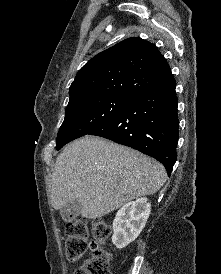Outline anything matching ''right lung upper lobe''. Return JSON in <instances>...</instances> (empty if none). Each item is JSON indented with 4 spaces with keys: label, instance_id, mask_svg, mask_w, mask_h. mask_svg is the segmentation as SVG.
<instances>
[{
    "label": "right lung upper lobe",
    "instance_id": "cb5924a9",
    "mask_svg": "<svg viewBox=\"0 0 221 274\" xmlns=\"http://www.w3.org/2000/svg\"><path fill=\"white\" fill-rule=\"evenodd\" d=\"M171 73L157 47L126 39L89 60L70 86L69 102L94 96L134 98Z\"/></svg>",
    "mask_w": 221,
    "mask_h": 274
}]
</instances>
